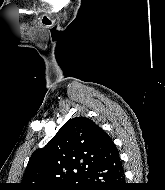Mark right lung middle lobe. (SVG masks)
I'll return each instance as SVG.
<instances>
[{
	"label": "right lung middle lobe",
	"instance_id": "obj_1",
	"mask_svg": "<svg viewBox=\"0 0 165 190\" xmlns=\"http://www.w3.org/2000/svg\"><path fill=\"white\" fill-rule=\"evenodd\" d=\"M81 184H70L65 187L55 188L54 190H79Z\"/></svg>",
	"mask_w": 165,
	"mask_h": 190
}]
</instances>
